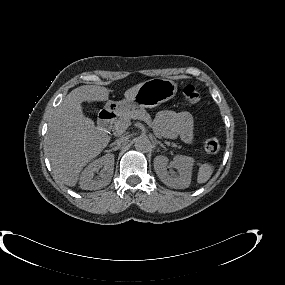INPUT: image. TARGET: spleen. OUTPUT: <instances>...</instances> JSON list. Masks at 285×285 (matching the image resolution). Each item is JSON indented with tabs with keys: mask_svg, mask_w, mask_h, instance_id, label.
Returning <instances> with one entry per match:
<instances>
[{
	"mask_svg": "<svg viewBox=\"0 0 285 285\" xmlns=\"http://www.w3.org/2000/svg\"><path fill=\"white\" fill-rule=\"evenodd\" d=\"M213 171H214V168L209 163H204L200 165L198 175H197V182L199 184L207 182L212 176Z\"/></svg>",
	"mask_w": 285,
	"mask_h": 285,
	"instance_id": "spleen-1",
	"label": "spleen"
}]
</instances>
